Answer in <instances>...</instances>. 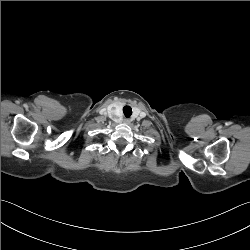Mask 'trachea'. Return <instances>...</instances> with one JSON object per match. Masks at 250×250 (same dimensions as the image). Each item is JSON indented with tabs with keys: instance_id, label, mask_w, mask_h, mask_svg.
<instances>
[{
	"instance_id": "trachea-1",
	"label": "trachea",
	"mask_w": 250,
	"mask_h": 250,
	"mask_svg": "<svg viewBox=\"0 0 250 250\" xmlns=\"http://www.w3.org/2000/svg\"><path fill=\"white\" fill-rule=\"evenodd\" d=\"M123 113L125 117L129 118L132 115V109L130 106H124Z\"/></svg>"
}]
</instances>
